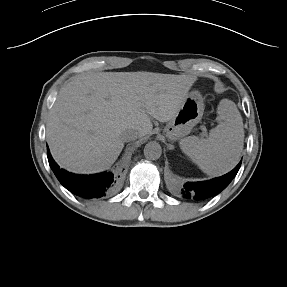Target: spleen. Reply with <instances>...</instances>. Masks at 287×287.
<instances>
[{"mask_svg": "<svg viewBox=\"0 0 287 287\" xmlns=\"http://www.w3.org/2000/svg\"><path fill=\"white\" fill-rule=\"evenodd\" d=\"M217 113L220 122L207 138L188 136L180 141L184 154L212 176L223 175L237 165L245 136L243 120L234 102L222 100Z\"/></svg>", "mask_w": 287, "mask_h": 287, "instance_id": "1", "label": "spleen"}]
</instances>
